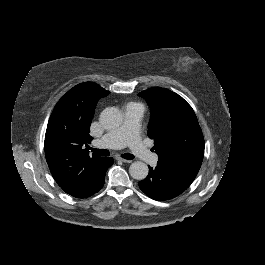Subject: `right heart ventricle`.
Segmentation results:
<instances>
[{
	"instance_id": "right-heart-ventricle-1",
	"label": "right heart ventricle",
	"mask_w": 265,
	"mask_h": 265,
	"mask_svg": "<svg viewBox=\"0 0 265 265\" xmlns=\"http://www.w3.org/2000/svg\"><path fill=\"white\" fill-rule=\"evenodd\" d=\"M128 105H132V106L139 107V104H138V103H134V102H132V103H129ZM128 105H127V106H128Z\"/></svg>"
}]
</instances>
